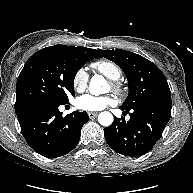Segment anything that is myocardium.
<instances>
[{
  "mask_svg": "<svg viewBox=\"0 0 193 193\" xmlns=\"http://www.w3.org/2000/svg\"><path fill=\"white\" fill-rule=\"evenodd\" d=\"M110 88L117 95H123V93H124L123 85L121 84V82L119 80H111L110 81Z\"/></svg>",
  "mask_w": 193,
  "mask_h": 193,
  "instance_id": "myocardium-1",
  "label": "myocardium"
}]
</instances>
